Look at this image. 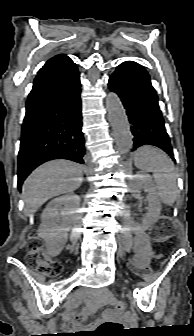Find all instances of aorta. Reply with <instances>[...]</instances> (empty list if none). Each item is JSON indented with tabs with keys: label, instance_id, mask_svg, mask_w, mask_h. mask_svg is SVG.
Returning a JSON list of instances; mask_svg holds the SVG:
<instances>
[{
	"label": "aorta",
	"instance_id": "aorta-1",
	"mask_svg": "<svg viewBox=\"0 0 194 336\" xmlns=\"http://www.w3.org/2000/svg\"><path fill=\"white\" fill-rule=\"evenodd\" d=\"M108 119L113 129L117 149L120 153H127L132 147L130 124L123 104L114 92H109L106 97Z\"/></svg>",
	"mask_w": 194,
	"mask_h": 336
}]
</instances>
